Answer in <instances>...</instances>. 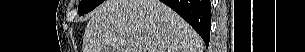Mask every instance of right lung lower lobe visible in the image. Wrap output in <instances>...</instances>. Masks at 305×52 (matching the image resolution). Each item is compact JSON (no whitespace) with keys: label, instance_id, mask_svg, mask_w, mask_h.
I'll list each match as a JSON object with an SVG mask.
<instances>
[{"label":"right lung lower lobe","instance_id":"right-lung-lower-lobe-1","mask_svg":"<svg viewBox=\"0 0 305 52\" xmlns=\"http://www.w3.org/2000/svg\"><path fill=\"white\" fill-rule=\"evenodd\" d=\"M185 19L203 38L206 46L210 41V0H160Z\"/></svg>","mask_w":305,"mask_h":52}]
</instances>
